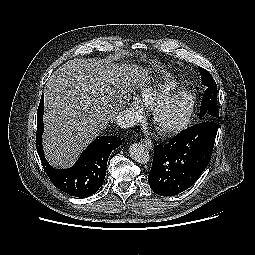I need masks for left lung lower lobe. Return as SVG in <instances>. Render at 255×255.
I'll list each match as a JSON object with an SVG mask.
<instances>
[{
	"mask_svg": "<svg viewBox=\"0 0 255 255\" xmlns=\"http://www.w3.org/2000/svg\"><path fill=\"white\" fill-rule=\"evenodd\" d=\"M217 131L216 122L203 121L165 146H156L148 175L151 189L161 196H174L193 185L211 159Z\"/></svg>",
	"mask_w": 255,
	"mask_h": 255,
	"instance_id": "obj_1",
	"label": "left lung lower lobe"
}]
</instances>
